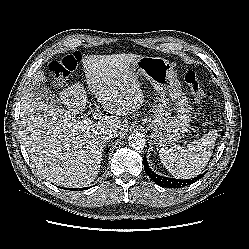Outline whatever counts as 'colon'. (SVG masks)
Returning <instances> with one entry per match:
<instances>
[{
	"label": "colon",
	"mask_w": 249,
	"mask_h": 249,
	"mask_svg": "<svg viewBox=\"0 0 249 249\" xmlns=\"http://www.w3.org/2000/svg\"><path fill=\"white\" fill-rule=\"evenodd\" d=\"M80 60L81 54L79 52H73L52 61L49 65V74L53 81L56 84H61L76 68ZM183 76L186 84L191 90L194 99L197 102L204 101L206 98V92L201 76L192 69H185Z\"/></svg>",
	"instance_id": "5ec220e1"
}]
</instances>
